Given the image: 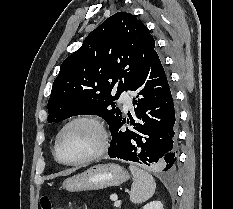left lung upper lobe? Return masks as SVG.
Segmentation results:
<instances>
[{"mask_svg":"<svg viewBox=\"0 0 233 209\" xmlns=\"http://www.w3.org/2000/svg\"><path fill=\"white\" fill-rule=\"evenodd\" d=\"M154 48L149 30L132 14L107 18L63 61L48 100V122L95 114L110 127L122 118L114 101L129 89Z\"/></svg>","mask_w":233,"mask_h":209,"instance_id":"obj_1","label":"left lung upper lobe"}]
</instances>
